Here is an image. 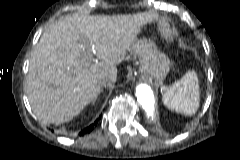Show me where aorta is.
Segmentation results:
<instances>
[{"instance_id":"aorta-1","label":"aorta","mask_w":240,"mask_h":160,"mask_svg":"<svg viewBox=\"0 0 240 160\" xmlns=\"http://www.w3.org/2000/svg\"><path fill=\"white\" fill-rule=\"evenodd\" d=\"M136 97L147 119H151L155 112V98L151 87L147 84H139L136 88Z\"/></svg>"}]
</instances>
